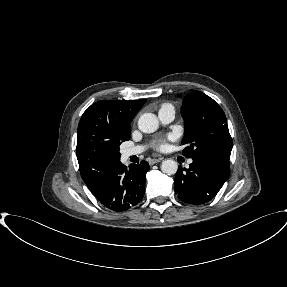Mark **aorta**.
<instances>
[{"label":"aorta","mask_w":287,"mask_h":287,"mask_svg":"<svg viewBox=\"0 0 287 287\" xmlns=\"http://www.w3.org/2000/svg\"><path fill=\"white\" fill-rule=\"evenodd\" d=\"M159 127L157 117L152 113H144L139 117L138 128L144 133H153ZM177 162L172 159L164 160L161 164V170L167 175H173L177 172Z\"/></svg>","instance_id":"aorta-1"}]
</instances>
